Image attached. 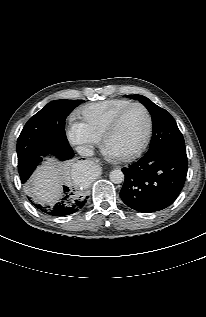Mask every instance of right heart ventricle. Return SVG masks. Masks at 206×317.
Here are the masks:
<instances>
[{
	"label": "right heart ventricle",
	"mask_w": 206,
	"mask_h": 317,
	"mask_svg": "<svg viewBox=\"0 0 206 317\" xmlns=\"http://www.w3.org/2000/svg\"><path fill=\"white\" fill-rule=\"evenodd\" d=\"M131 103L127 99H108L82 107L78 115L87 129L100 138L113 117Z\"/></svg>",
	"instance_id": "1"
}]
</instances>
